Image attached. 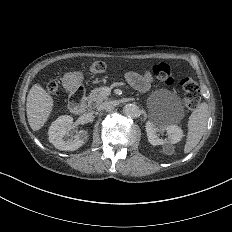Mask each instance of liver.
Instances as JSON below:
<instances>
[{
	"mask_svg": "<svg viewBox=\"0 0 232 232\" xmlns=\"http://www.w3.org/2000/svg\"><path fill=\"white\" fill-rule=\"evenodd\" d=\"M52 107V97L39 84L33 85L26 103L27 118L33 131L39 130L45 124Z\"/></svg>",
	"mask_w": 232,
	"mask_h": 232,
	"instance_id": "liver-1",
	"label": "liver"
}]
</instances>
